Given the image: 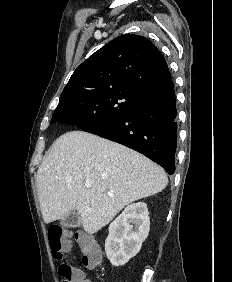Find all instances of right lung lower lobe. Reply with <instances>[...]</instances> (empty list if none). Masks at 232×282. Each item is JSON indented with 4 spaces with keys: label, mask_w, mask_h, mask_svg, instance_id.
<instances>
[{
    "label": "right lung lower lobe",
    "mask_w": 232,
    "mask_h": 282,
    "mask_svg": "<svg viewBox=\"0 0 232 282\" xmlns=\"http://www.w3.org/2000/svg\"><path fill=\"white\" fill-rule=\"evenodd\" d=\"M176 115L172 85L164 92L145 98L136 109L112 121L82 130L132 148L173 174L177 145Z\"/></svg>",
    "instance_id": "obj_1"
}]
</instances>
